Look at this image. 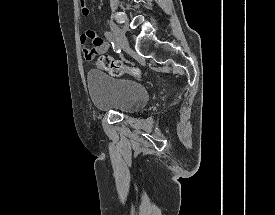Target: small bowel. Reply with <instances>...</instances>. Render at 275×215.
Masks as SVG:
<instances>
[{
    "instance_id": "small-bowel-1",
    "label": "small bowel",
    "mask_w": 275,
    "mask_h": 215,
    "mask_svg": "<svg viewBox=\"0 0 275 215\" xmlns=\"http://www.w3.org/2000/svg\"><path fill=\"white\" fill-rule=\"evenodd\" d=\"M82 13L84 16H89L90 9L86 7L82 9ZM79 40L82 44V56L86 61L93 60L97 54L105 53L109 48V44L104 42L93 30L82 33ZM89 41L93 44L92 48L87 46Z\"/></svg>"
}]
</instances>
